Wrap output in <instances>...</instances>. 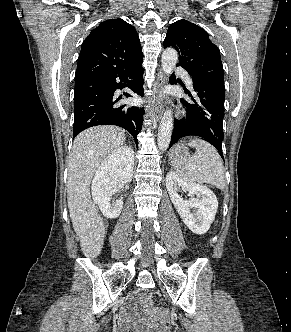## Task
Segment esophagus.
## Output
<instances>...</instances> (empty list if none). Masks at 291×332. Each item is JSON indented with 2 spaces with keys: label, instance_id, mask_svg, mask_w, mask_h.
<instances>
[{
  "label": "esophagus",
  "instance_id": "esophagus-1",
  "mask_svg": "<svg viewBox=\"0 0 291 332\" xmlns=\"http://www.w3.org/2000/svg\"><path fill=\"white\" fill-rule=\"evenodd\" d=\"M166 84V77L162 71L158 73V79L154 87V96L152 100V116L159 120L161 118L163 112V99L161 95V91Z\"/></svg>",
  "mask_w": 291,
  "mask_h": 332
}]
</instances>
